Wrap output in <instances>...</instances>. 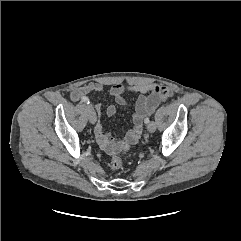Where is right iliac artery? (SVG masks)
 Masks as SVG:
<instances>
[{
    "label": "right iliac artery",
    "instance_id": "82829eb1",
    "mask_svg": "<svg viewBox=\"0 0 241 241\" xmlns=\"http://www.w3.org/2000/svg\"><path fill=\"white\" fill-rule=\"evenodd\" d=\"M82 102H85V103H87V104L90 103V102H89V99H88L87 97H83V98H82Z\"/></svg>",
    "mask_w": 241,
    "mask_h": 241
}]
</instances>
